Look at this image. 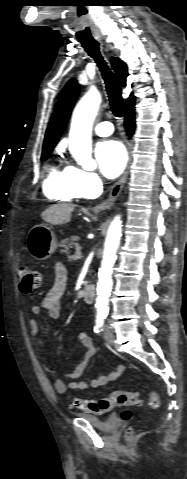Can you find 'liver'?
<instances>
[{
    "label": "liver",
    "mask_w": 187,
    "mask_h": 479,
    "mask_svg": "<svg viewBox=\"0 0 187 479\" xmlns=\"http://www.w3.org/2000/svg\"><path fill=\"white\" fill-rule=\"evenodd\" d=\"M76 205L71 203H58L49 206L41 214L42 219L53 225H63L71 220V214Z\"/></svg>",
    "instance_id": "1"
}]
</instances>
